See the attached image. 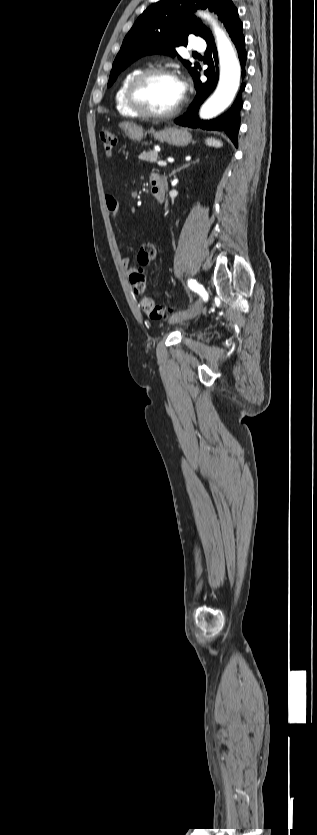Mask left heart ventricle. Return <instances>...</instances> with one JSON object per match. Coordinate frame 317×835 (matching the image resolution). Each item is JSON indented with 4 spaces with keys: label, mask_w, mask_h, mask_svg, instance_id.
<instances>
[{
    "label": "left heart ventricle",
    "mask_w": 317,
    "mask_h": 835,
    "mask_svg": "<svg viewBox=\"0 0 317 835\" xmlns=\"http://www.w3.org/2000/svg\"><path fill=\"white\" fill-rule=\"evenodd\" d=\"M140 99L146 107L155 112L172 109L181 99L177 80L168 76L149 79L140 91Z\"/></svg>",
    "instance_id": "b2bd125f"
}]
</instances>
